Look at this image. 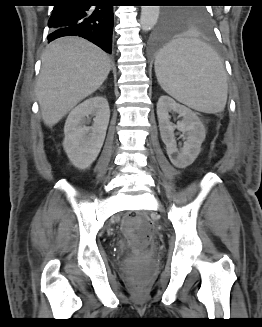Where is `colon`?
I'll use <instances>...</instances> for the list:
<instances>
[{
  "label": "colon",
  "mask_w": 262,
  "mask_h": 327,
  "mask_svg": "<svg viewBox=\"0 0 262 327\" xmlns=\"http://www.w3.org/2000/svg\"><path fill=\"white\" fill-rule=\"evenodd\" d=\"M124 229L132 243L136 245L148 243L153 234L152 223L143 215L130 214L124 223ZM136 288H141V285L137 283Z\"/></svg>",
  "instance_id": "colon-1"
}]
</instances>
